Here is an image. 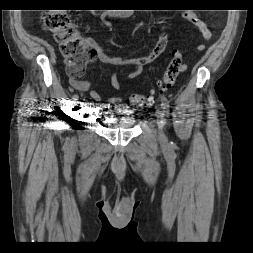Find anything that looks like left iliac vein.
Listing matches in <instances>:
<instances>
[{
    "label": "left iliac vein",
    "mask_w": 253,
    "mask_h": 253,
    "mask_svg": "<svg viewBox=\"0 0 253 253\" xmlns=\"http://www.w3.org/2000/svg\"><path fill=\"white\" fill-rule=\"evenodd\" d=\"M157 117H158V136L159 139L161 141H165L166 140V136L164 133V125H165V120L163 119V114L161 112L157 113Z\"/></svg>",
    "instance_id": "left-iliac-vein-1"
}]
</instances>
